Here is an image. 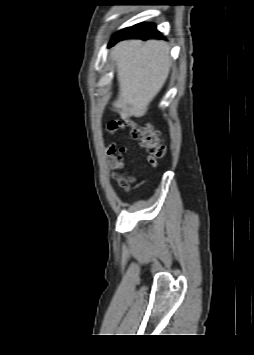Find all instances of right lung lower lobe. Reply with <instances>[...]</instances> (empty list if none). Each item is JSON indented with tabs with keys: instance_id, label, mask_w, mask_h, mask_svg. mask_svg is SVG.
Here are the masks:
<instances>
[{
	"instance_id": "1",
	"label": "right lung lower lobe",
	"mask_w": 254,
	"mask_h": 355,
	"mask_svg": "<svg viewBox=\"0 0 254 355\" xmlns=\"http://www.w3.org/2000/svg\"><path fill=\"white\" fill-rule=\"evenodd\" d=\"M126 38H141L147 40L149 38H163V36L156 30L154 24L140 23L115 33L108 46L110 47L116 42Z\"/></svg>"
}]
</instances>
